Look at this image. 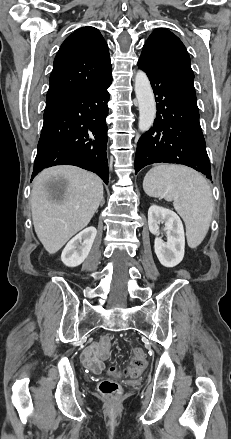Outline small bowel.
<instances>
[{
	"instance_id": "1",
	"label": "small bowel",
	"mask_w": 231,
	"mask_h": 439,
	"mask_svg": "<svg viewBox=\"0 0 231 439\" xmlns=\"http://www.w3.org/2000/svg\"><path fill=\"white\" fill-rule=\"evenodd\" d=\"M100 343L93 342L88 345L81 353V362L83 365L94 373L101 371L103 367V358L99 354Z\"/></svg>"
}]
</instances>
